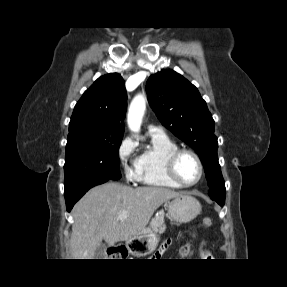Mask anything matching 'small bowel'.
Wrapping results in <instances>:
<instances>
[{
	"label": "small bowel",
	"instance_id": "1",
	"mask_svg": "<svg viewBox=\"0 0 287 287\" xmlns=\"http://www.w3.org/2000/svg\"><path fill=\"white\" fill-rule=\"evenodd\" d=\"M171 244V240H166L161 246L160 248L158 249L157 251V255H160L162 254L164 251H166V249L170 246ZM206 245L207 243L206 242H203L201 244V247H200V254L201 256L203 257H208L210 255L209 251L207 250L206 248Z\"/></svg>",
	"mask_w": 287,
	"mask_h": 287
}]
</instances>
